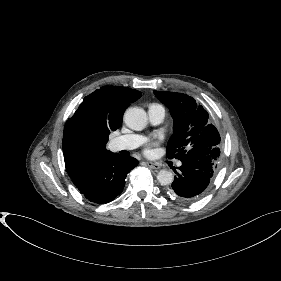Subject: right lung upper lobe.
<instances>
[{"label":"right lung upper lobe","instance_id":"right-lung-upper-lobe-1","mask_svg":"<svg viewBox=\"0 0 281 281\" xmlns=\"http://www.w3.org/2000/svg\"><path fill=\"white\" fill-rule=\"evenodd\" d=\"M141 97V92L121 86H104L84 98L64 127L63 154L66 170L71 178L78 176L96 158L109 153L106 143L110 131L122 124V114L130 103ZM82 121L96 141L88 149H77L71 142V127Z\"/></svg>","mask_w":281,"mask_h":281}]
</instances>
